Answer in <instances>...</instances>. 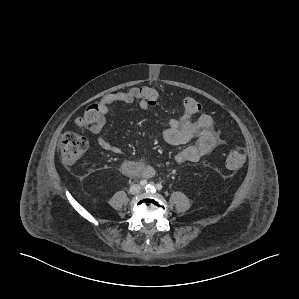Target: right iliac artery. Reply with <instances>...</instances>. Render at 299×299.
Listing matches in <instances>:
<instances>
[{"label":"right iliac artery","instance_id":"right-iliac-artery-1","mask_svg":"<svg viewBox=\"0 0 299 299\" xmlns=\"http://www.w3.org/2000/svg\"><path fill=\"white\" fill-rule=\"evenodd\" d=\"M140 185H141V186H145V185H147V180H141V181H140Z\"/></svg>","mask_w":299,"mask_h":299}]
</instances>
